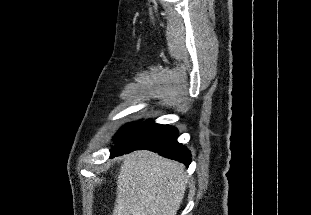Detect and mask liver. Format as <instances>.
I'll return each mask as SVG.
<instances>
[{"mask_svg":"<svg viewBox=\"0 0 311 215\" xmlns=\"http://www.w3.org/2000/svg\"><path fill=\"white\" fill-rule=\"evenodd\" d=\"M187 175L183 164L140 150L124 157L112 215H176Z\"/></svg>","mask_w":311,"mask_h":215,"instance_id":"6515ba94","label":"liver"}]
</instances>
